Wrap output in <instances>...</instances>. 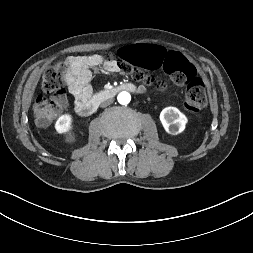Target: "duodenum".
I'll return each instance as SVG.
<instances>
[{
    "label": "duodenum",
    "instance_id": "obj_1",
    "mask_svg": "<svg viewBox=\"0 0 253 253\" xmlns=\"http://www.w3.org/2000/svg\"><path fill=\"white\" fill-rule=\"evenodd\" d=\"M122 91L138 92V89L135 85L126 83L103 90L95 96L78 103L76 105V111L80 115L89 116L97 110L102 101L113 98Z\"/></svg>",
    "mask_w": 253,
    "mask_h": 253
}]
</instances>
